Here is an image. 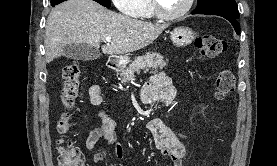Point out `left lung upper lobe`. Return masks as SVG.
<instances>
[{"label":"left lung upper lobe","instance_id":"obj_1","mask_svg":"<svg viewBox=\"0 0 277 166\" xmlns=\"http://www.w3.org/2000/svg\"><path fill=\"white\" fill-rule=\"evenodd\" d=\"M197 3L192 14L225 15L239 18L235 0H197Z\"/></svg>","mask_w":277,"mask_h":166}]
</instances>
